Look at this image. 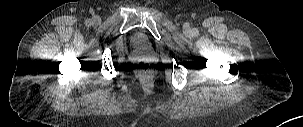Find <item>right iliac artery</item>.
Masks as SVG:
<instances>
[{
    "instance_id": "82829eb1",
    "label": "right iliac artery",
    "mask_w": 303,
    "mask_h": 127,
    "mask_svg": "<svg viewBox=\"0 0 303 127\" xmlns=\"http://www.w3.org/2000/svg\"><path fill=\"white\" fill-rule=\"evenodd\" d=\"M85 24H86L87 26H90V25L92 24V21H91L90 19H88V20L85 21Z\"/></svg>"
}]
</instances>
